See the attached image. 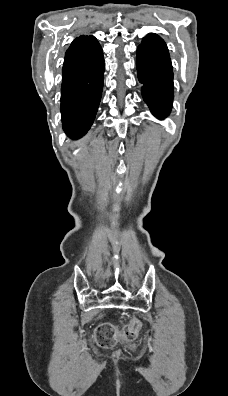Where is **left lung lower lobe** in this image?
<instances>
[{
  "label": "left lung lower lobe",
  "instance_id": "1",
  "mask_svg": "<svg viewBox=\"0 0 228 396\" xmlns=\"http://www.w3.org/2000/svg\"><path fill=\"white\" fill-rule=\"evenodd\" d=\"M137 73L144 101L160 119L171 111L174 96L173 70L168 48L158 35L148 34L137 48Z\"/></svg>",
  "mask_w": 228,
  "mask_h": 396
}]
</instances>
